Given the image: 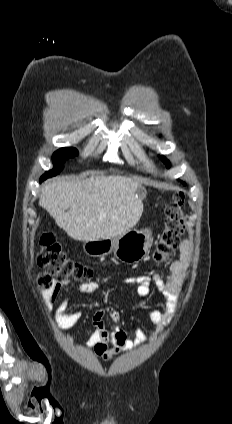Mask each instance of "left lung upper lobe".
I'll list each match as a JSON object with an SVG mask.
<instances>
[{
	"mask_svg": "<svg viewBox=\"0 0 232 424\" xmlns=\"http://www.w3.org/2000/svg\"><path fill=\"white\" fill-rule=\"evenodd\" d=\"M162 160L165 163V165L169 168L170 167V162L165 157H162Z\"/></svg>",
	"mask_w": 232,
	"mask_h": 424,
	"instance_id": "obj_1",
	"label": "left lung upper lobe"
}]
</instances>
